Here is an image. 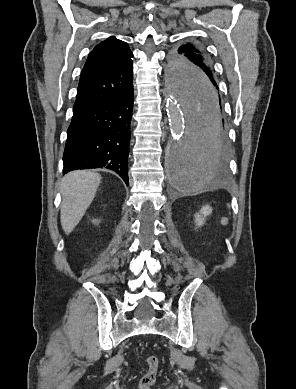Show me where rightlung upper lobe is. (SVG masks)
<instances>
[{
	"instance_id": "cb5924a9",
	"label": "right lung upper lobe",
	"mask_w": 296,
	"mask_h": 389,
	"mask_svg": "<svg viewBox=\"0 0 296 389\" xmlns=\"http://www.w3.org/2000/svg\"><path fill=\"white\" fill-rule=\"evenodd\" d=\"M133 54L114 36L98 44L82 70L73 111L122 94L133 83Z\"/></svg>"
}]
</instances>
